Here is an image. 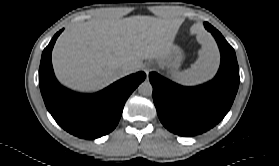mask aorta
<instances>
[{
    "mask_svg": "<svg viewBox=\"0 0 279 166\" xmlns=\"http://www.w3.org/2000/svg\"><path fill=\"white\" fill-rule=\"evenodd\" d=\"M152 91L153 87L149 81L142 82L138 87V92L142 96H150Z\"/></svg>",
    "mask_w": 279,
    "mask_h": 166,
    "instance_id": "aorta-1",
    "label": "aorta"
}]
</instances>
